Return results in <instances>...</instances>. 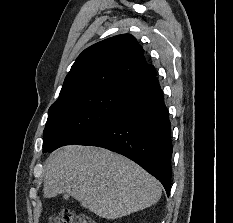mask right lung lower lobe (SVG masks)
<instances>
[{"instance_id": "1", "label": "right lung lower lobe", "mask_w": 233, "mask_h": 223, "mask_svg": "<svg viewBox=\"0 0 233 223\" xmlns=\"http://www.w3.org/2000/svg\"><path fill=\"white\" fill-rule=\"evenodd\" d=\"M121 101L122 109L78 144L103 147L128 157L156 177L169 195L171 126L158 79L155 76L122 90Z\"/></svg>"}]
</instances>
